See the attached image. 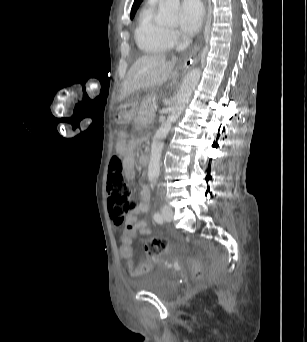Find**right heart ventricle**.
Instances as JSON below:
<instances>
[{"label": "right heart ventricle", "mask_w": 307, "mask_h": 342, "mask_svg": "<svg viewBox=\"0 0 307 342\" xmlns=\"http://www.w3.org/2000/svg\"><path fill=\"white\" fill-rule=\"evenodd\" d=\"M134 39L138 51L144 57H152L166 52L154 11L143 13L142 21L134 32Z\"/></svg>", "instance_id": "1"}]
</instances>
